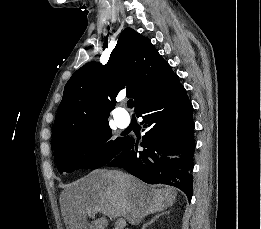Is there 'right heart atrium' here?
<instances>
[{
	"instance_id": "d8ad5b80",
	"label": "right heart atrium",
	"mask_w": 261,
	"mask_h": 229,
	"mask_svg": "<svg viewBox=\"0 0 261 229\" xmlns=\"http://www.w3.org/2000/svg\"><path fill=\"white\" fill-rule=\"evenodd\" d=\"M101 146H102L101 144H98V145L96 146V148L99 149Z\"/></svg>"
}]
</instances>
